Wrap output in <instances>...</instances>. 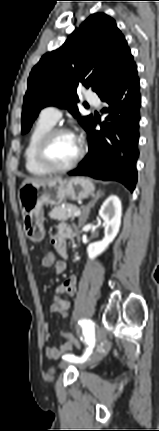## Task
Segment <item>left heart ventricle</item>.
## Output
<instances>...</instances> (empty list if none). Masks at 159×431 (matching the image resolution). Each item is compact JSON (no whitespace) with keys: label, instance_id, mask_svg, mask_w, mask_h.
<instances>
[{"label":"left heart ventricle","instance_id":"left-heart-ventricle-1","mask_svg":"<svg viewBox=\"0 0 159 431\" xmlns=\"http://www.w3.org/2000/svg\"><path fill=\"white\" fill-rule=\"evenodd\" d=\"M79 143L72 134L56 136L49 147V157L57 166L69 164L77 155Z\"/></svg>","mask_w":159,"mask_h":431}]
</instances>
